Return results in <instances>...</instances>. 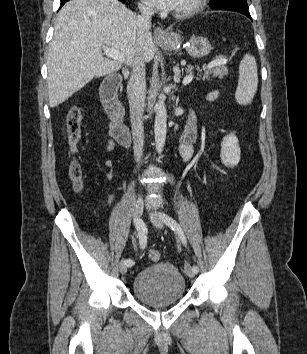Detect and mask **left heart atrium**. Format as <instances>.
Segmentation results:
<instances>
[{
  "mask_svg": "<svg viewBox=\"0 0 307 354\" xmlns=\"http://www.w3.org/2000/svg\"><path fill=\"white\" fill-rule=\"evenodd\" d=\"M148 2L157 9L173 11L178 9L181 0H148Z\"/></svg>",
  "mask_w": 307,
  "mask_h": 354,
  "instance_id": "39dd6f15",
  "label": "left heart atrium"
}]
</instances>
